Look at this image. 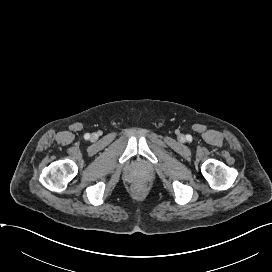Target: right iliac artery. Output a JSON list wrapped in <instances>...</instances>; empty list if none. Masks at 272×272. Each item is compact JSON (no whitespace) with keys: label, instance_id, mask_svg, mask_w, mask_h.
<instances>
[{"label":"right iliac artery","instance_id":"obj_1","mask_svg":"<svg viewBox=\"0 0 272 272\" xmlns=\"http://www.w3.org/2000/svg\"><path fill=\"white\" fill-rule=\"evenodd\" d=\"M90 137V135L87 133L85 134V138L88 139Z\"/></svg>","mask_w":272,"mask_h":272}]
</instances>
